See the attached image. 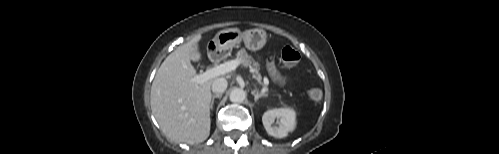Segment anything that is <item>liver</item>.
<instances>
[{"mask_svg":"<svg viewBox=\"0 0 499 154\" xmlns=\"http://www.w3.org/2000/svg\"><path fill=\"white\" fill-rule=\"evenodd\" d=\"M197 35L177 47L161 64L151 87L150 103L163 133L175 142L201 143L210 134L211 85L191 81L196 70L191 61L202 55Z\"/></svg>","mask_w":499,"mask_h":154,"instance_id":"6515ba94","label":"liver"}]
</instances>
